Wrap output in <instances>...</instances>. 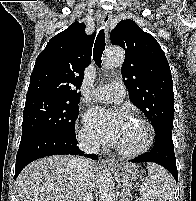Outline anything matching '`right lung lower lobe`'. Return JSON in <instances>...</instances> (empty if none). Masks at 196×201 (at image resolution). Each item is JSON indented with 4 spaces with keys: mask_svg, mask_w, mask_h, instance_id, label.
<instances>
[{
    "mask_svg": "<svg viewBox=\"0 0 196 201\" xmlns=\"http://www.w3.org/2000/svg\"><path fill=\"white\" fill-rule=\"evenodd\" d=\"M55 154L84 155L78 148L75 134L67 136L50 131H34L23 134L16 156L15 178L30 162ZM84 156L93 160L97 159L95 154Z\"/></svg>",
    "mask_w": 196,
    "mask_h": 201,
    "instance_id": "98d812e1",
    "label": "right lung lower lobe"
}]
</instances>
